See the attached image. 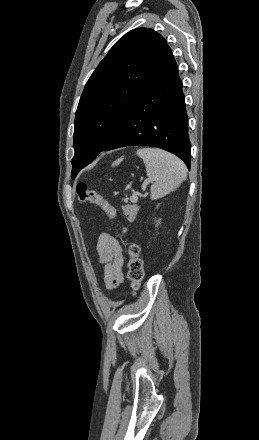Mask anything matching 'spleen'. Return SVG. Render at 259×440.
<instances>
[{"instance_id":"1","label":"spleen","mask_w":259,"mask_h":440,"mask_svg":"<svg viewBox=\"0 0 259 440\" xmlns=\"http://www.w3.org/2000/svg\"><path fill=\"white\" fill-rule=\"evenodd\" d=\"M137 155L143 159L146 173L154 183L151 199L156 200L178 188L187 177L185 164L176 156L155 148H142Z\"/></svg>"}]
</instances>
